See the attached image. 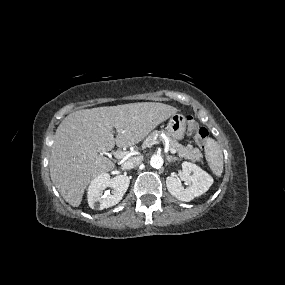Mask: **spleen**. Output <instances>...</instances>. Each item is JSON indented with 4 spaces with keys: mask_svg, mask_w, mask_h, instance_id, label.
<instances>
[{
    "mask_svg": "<svg viewBox=\"0 0 285 285\" xmlns=\"http://www.w3.org/2000/svg\"><path fill=\"white\" fill-rule=\"evenodd\" d=\"M208 166L216 177H220L223 172V154L219 144L214 139H208L205 148Z\"/></svg>",
    "mask_w": 285,
    "mask_h": 285,
    "instance_id": "obj_1",
    "label": "spleen"
}]
</instances>
